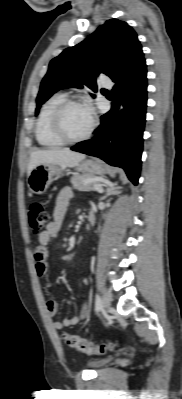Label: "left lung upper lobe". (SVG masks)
<instances>
[{
	"instance_id": "obj_1",
	"label": "left lung upper lobe",
	"mask_w": 182,
	"mask_h": 399,
	"mask_svg": "<svg viewBox=\"0 0 182 399\" xmlns=\"http://www.w3.org/2000/svg\"><path fill=\"white\" fill-rule=\"evenodd\" d=\"M143 62L145 59L136 32L126 22L108 20L84 41L65 49L51 60L40 85L35 114L60 89L87 87L97 92V77L100 73L117 83Z\"/></svg>"
}]
</instances>
